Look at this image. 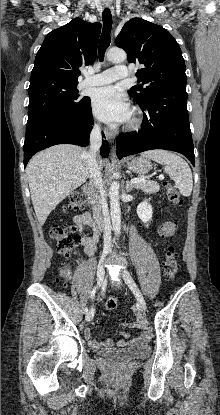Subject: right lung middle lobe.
Segmentation results:
<instances>
[{
  "mask_svg": "<svg viewBox=\"0 0 220 415\" xmlns=\"http://www.w3.org/2000/svg\"><path fill=\"white\" fill-rule=\"evenodd\" d=\"M77 84L48 77L30 80L27 123L57 111L69 117L79 115L90 98L78 94Z\"/></svg>",
  "mask_w": 220,
  "mask_h": 415,
  "instance_id": "right-lung-middle-lobe-1",
  "label": "right lung middle lobe"
}]
</instances>
